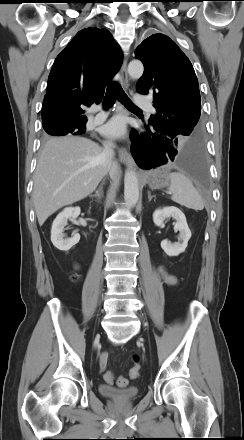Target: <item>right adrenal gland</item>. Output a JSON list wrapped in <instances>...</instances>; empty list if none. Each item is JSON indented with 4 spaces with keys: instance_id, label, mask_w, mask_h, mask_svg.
Instances as JSON below:
<instances>
[{
    "instance_id": "obj_1",
    "label": "right adrenal gland",
    "mask_w": 244,
    "mask_h": 440,
    "mask_svg": "<svg viewBox=\"0 0 244 440\" xmlns=\"http://www.w3.org/2000/svg\"><path fill=\"white\" fill-rule=\"evenodd\" d=\"M103 196V187L100 186L98 190L95 192V194L91 195L90 197H97L98 199H101Z\"/></svg>"
}]
</instances>
